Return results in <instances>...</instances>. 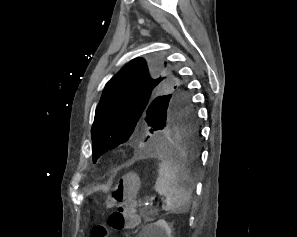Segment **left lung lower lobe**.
I'll use <instances>...</instances> for the list:
<instances>
[{
  "mask_svg": "<svg viewBox=\"0 0 297 237\" xmlns=\"http://www.w3.org/2000/svg\"><path fill=\"white\" fill-rule=\"evenodd\" d=\"M200 130L191 103H177L162 120L138 156L170 157L186 168L195 169L200 156Z\"/></svg>",
  "mask_w": 297,
  "mask_h": 237,
  "instance_id": "1",
  "label": "left lung lower lobe"
}]
</instances>
